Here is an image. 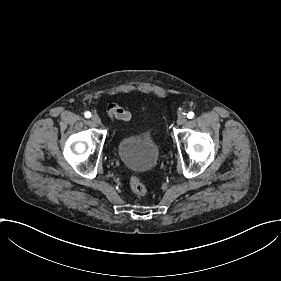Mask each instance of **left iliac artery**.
<instances>
[{
	"label": "left iliac artery",
	"instance_id": "44dca946",
	"mask_svg": "<svg viewBox=\"0 0 281 281\" xmlns=\"http://www.w3.org/2000/svg\"><path fill=\"white\" fill-rule=\"evenodd\" d=\"M193 116H194V113H193V112H189V113L187 114V118H189V119H192Z\"/></svg>",
	"mask_w": 281,
	"mask_h": 281
}]
</instances>
